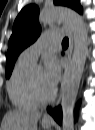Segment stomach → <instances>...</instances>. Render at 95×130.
Segmentation results:
<instances>
[{
  "instance_id": "obj_1",
  "label": "stomach",
  "mask_w": 95,
  "mask_h": 130,
  "mask_svg": "<svg viewBox=\"0 0 95 130\" xmlns=\"http://www.w3.org/2000/svg\"><path fill=\"white\" fill-rule=\"evenodd\" d=\"M50 126H51V124L50 123H48V124H42V127L44 128V129H48V128H50Z\"/></svg>"
}]
</instances>
